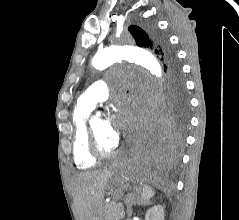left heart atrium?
Listing matches in <instances>:
<instances>
[{
    "label": "left heart atrium",
    "instance_id": "obj_1",
    "mask_svg": "<svg viewBox=\"0 0 239 220\" xmlns=\"http://www.w3.org/2000/svg\"><path fill=\"white\" fill-rule=\"evenodd\" d=\"M133 105L128 101L123 102L120 109L106 120V134L114 142H118L120 131H128L133 126V118L129 116Z\"/></svg>",
    "mask_w": 239,
    "mask_h": 220
}]
</instances>
